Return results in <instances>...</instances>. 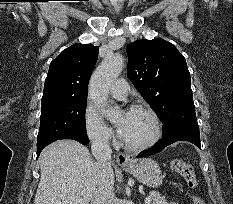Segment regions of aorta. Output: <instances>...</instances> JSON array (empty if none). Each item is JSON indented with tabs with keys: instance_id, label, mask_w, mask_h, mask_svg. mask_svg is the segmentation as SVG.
<instances>
[{
	"instance_id": "obj_1",
	"label": "aorta",
	"mask_w": 233,
	"mask_h": 204,
	"mask_svg": "<svg viewBox=\"0 0 233 204\" xmlns=\"http://www.w3.org/2000/svg\"><path fill=\"white\" fill-rule=\"evenodd\" d=\"M123 67L124 59L121 55H108L97 67L90 80V97L97 109L110 121L118 117L119 110L108 105L109 89Z\"/></svg>"
}]
</instances>
